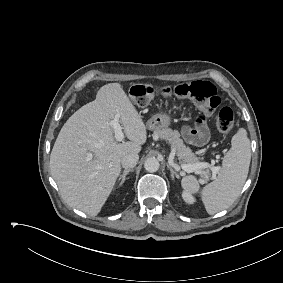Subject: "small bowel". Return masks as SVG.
Returning a JSON list of instances; mask_svg holds the SVG:
<instances>
[{
    "mask_svg": "<svg viewBox=\"0 0 283 283\" xmlns=\"http://www.w3.org/2000/svg\"><path fill=\"white\" fill-rule=\"evenodd\" d=\"M182 134L185 140L195 147L204 145L209 138V130L203 117L197 119L195 127H183Z\"/></svg>",
    "mask_w": 283,
    "mask_h": 283,
    "instance_id": "obj_1",
    "label": "small bowel"
}]
</instances>
